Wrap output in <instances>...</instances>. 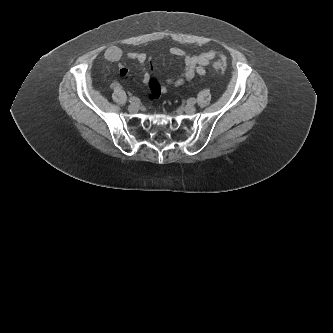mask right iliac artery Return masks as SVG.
Wrapping results in <instances>:
<instances>
[{
  "label": "right iliac artery",
  "mask_w": 333,
  "mask_h": 333,
  "mask_svg": "<svg viewBox=\"0 0 333 333\" xmlns=\"http://www.w3.org/2000/svg\"><path fill=\"white\" fill-rule=\"evenodd\" d=\"M129 102H130V103H136V104H138V103H139V99L136 98V97H130V98H129Z\"/></svg>",
  "instance_id": "obj_1"
}]
</instances>
